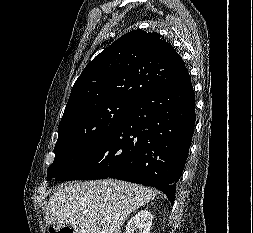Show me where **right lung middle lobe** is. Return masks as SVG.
I'll use <instances>...</instances> for the list:
<instances>
[{
  "label": "right lung middle lobe",
  "mask_w": 253,
  "mask_h": 233,
  "mask_svg": "<svg viewBox=\"0 0 253 233\" xmlns=\"http://www.w3.org/2000/svg\"><path fill=\"white\" fill-rule=\"evenodd\" d=\"M135 100L109 99L85 105L62 117L48 180L56 178L96 148L124 119Z\"/></svg>",
  "instance_id": "obj_1"
}]
</instances>
